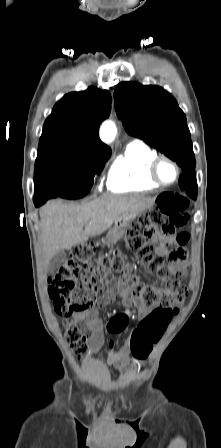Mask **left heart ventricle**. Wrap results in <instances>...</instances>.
Masks as SVG:
<instances>
[{
    "label": "left heart ventricle",
    "instance_id": "left-heart-ventricle-1",
    "mask_svg": "<svg viewBox=\"0 0 221 448\" xmlns=\"http://www.w3.org/2000/svg\"><path fill=\"white\" fill-rule=\"evenodd\" d=\"M159 175L165 182H171L174 180L176 172L170 163L163 161L159 167Z\"/></svg>",
    "mask_w": 221,
    "mask_h": 448
}]
</instances>
